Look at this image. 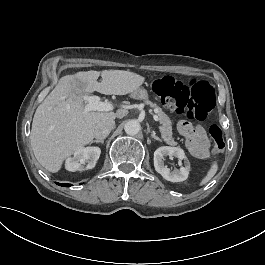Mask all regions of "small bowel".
Listing matches in <instances>:
<instances>
[{
	"label": "small bowel",
	"mask_w": 265,
	"mask_h": 265,
	"mask_svg": "<svg viewBox=\"0 0 265 265\" xmlns=\"http://www.w3.org/2000/svg\"><path fill=\"white\" fill-rule=\"evenodd\" d=\"M177 128L180 134L185 137L187 147L194 157L201 160L209 157V139L202 126H192L186 121H180Z\"/></svg>",
	"instance_id": "1"
}]
</instances>
